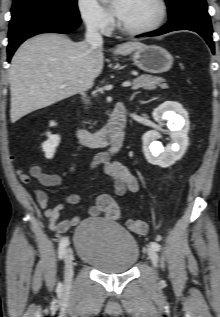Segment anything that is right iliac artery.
Wrapping results in <instances>:
<instances>
[{
	"instance_id": "82829eb1",
	"label": "right iliac artery",
	"mask_w": 220,
	"mask_h": 317,
	"mask_svg": "<svg viewBox=\"0 0 220 317\" xmlns=\"http://www.w3.org/2000/svg\"><path fill=\"white\" fill-rule=\"evenodd\" d=\"M68 245V238H63L59 244V248H58V253H59V258H62L64 253H65V250H66V247Z\"/></svg>"
}]
</instances>
